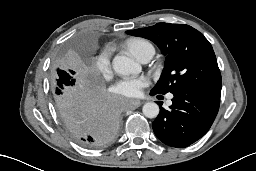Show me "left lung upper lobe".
Listing matches in <instances>:
<instances>
[{"label": "left lung upper lobe", "mask_w": 256, "mask_h": 171, "mask_svg": "<svg viewBox=\"0 0 256 171\" xmlns=\"http://www.w3.org/2000/svg\"><path fill=\"white\" fill-rule=\"evenodd\" d=\"M126 33L151 40L166 56L162 75L151 92L174 93L186 87L221 92V74L213 48L193 27L157 23Z\"/></svg>", "instance_id": "5c2ea615"}]
</instances>
